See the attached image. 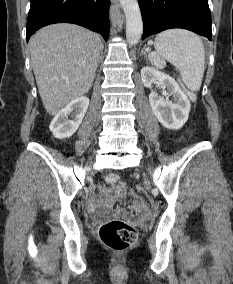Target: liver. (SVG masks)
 Returning a JSON list of instances; mask_svg holds the SVG:
<instances>
[{
    "mask_svg": "<svg viewBox=\"0 0 233 284\" xmlns=\"http://www.w3.org/2000/svg\"><path fill=\"white\" fill-rule=\"evenodd\" d=\"M31 62L45 110L56 115L92 87L103 44L97 33L59 23L30 39Z\"/></svg>",
    "mask_w": 233,
    "mask_h": 284,
    "instance_id": "1",
    "label": "liver"
}]
</instances>
